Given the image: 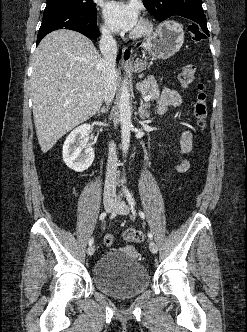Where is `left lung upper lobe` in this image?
Returning a JSON list of instances; mask_svg holds the SVG:
<instances>
[{"label":"left lung upper lobe","instance_id":"left-lung-upper-lobe-1","mask_svg":"<svg viewBox=\"0 0 247 332\" xmlns=\"http://www.w3.org/2000/svg\"><path fill=\"white\" fill-rule=\"evenodd\" d=\"M143 4L158 21L176 14L204 15L202 0H143Z\"/></svg>","mask_w":247,"mask_h":332}]
</instances>
